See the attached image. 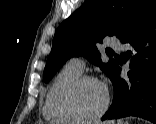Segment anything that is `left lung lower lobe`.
Instances as JSON below:
<instances>
[{"label": "left lung lower lobe", "mask_w": 156, "mask_h": 124, "mask_svg": "<svg viewBox=\"0 0 156 124\" xmlns=\"http://www.w3.org/2000/svg\"><path fill=\"white\" fill-rule=\"evenodd\" d=\"M120 41L128 44L122 57L129 61V79L120 77L121 68L116 63L110 77L114 98L102 120L133 115L156 124V0L150 1L137 24Z\"/></svg>", "instance_id": "left-lung-lower-lobe-1"}]
</instances>
